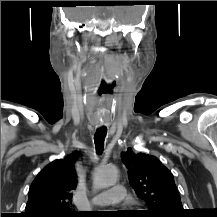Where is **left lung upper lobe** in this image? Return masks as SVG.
I'll use <instances>...</instances> for the list:
<instances>
[{
	"label": "left lung upper lobe",
	"instance_id": "obj_1",
	"mask_svg": "<svg viewBox=\"0 0 217 217\" xmlns=\"http://www.w3.org/2000/svg\"><path fill=\"white\" fill-rule=\"evenodd\" d=\"M130 185L149 207V217H182L183 207L172 173L154 156L122 152Z\"/></svg>",
	"mask_w": 217,
	"mask_h": 217
}]
</instances>
